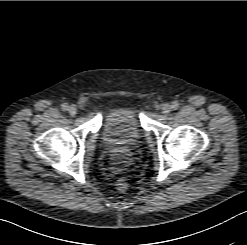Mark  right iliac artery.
<instances>
[{"label":"right iliac artery","instance_id":"obj_1","mask_svg":"<svg viewBox=\"0 0 247 245\" xmlns=\"http://www.w3.org/2000/svg\"><path fill=\"white\" fill-rule=\"evenodd\" d=\"M68 104L67 103H63L62 105H61V108H62V110L63 111H66V110H68Z\"/></svg>","mask_w":247,"mask_h":245}]
</instances>
